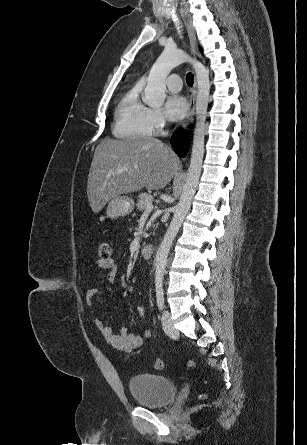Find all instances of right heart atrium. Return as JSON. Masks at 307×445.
Segmentation results:
<instances>
[{
    "label": "right heart atrium",
    "mask_w": 307,
    "mask_h": 445,
    "mask_svg": "<svg viewBox=\"0 0 307 445\" xmlns=\"http://www.w3.org/2000/svg\"><path fill=\"white\" fill-rule=\"evenodd\" d=\"M147 125L153 134H159L166 127V118L158 109H149L147 113Z\"/></svg>",
    "instance_id": "d8ad5b80"
}]
</instances>
